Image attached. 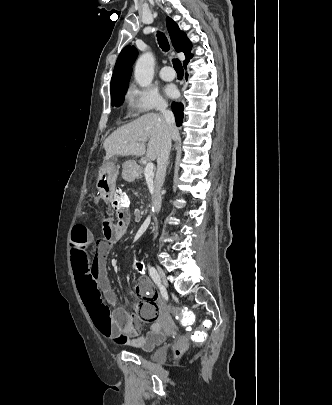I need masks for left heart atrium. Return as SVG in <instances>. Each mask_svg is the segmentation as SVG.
Returning <instances> with one entry per match:
<instances>
[{
	"label": "left heart atrium",
	"mask_w": 332,
	"mask_h": 405,
	"mask_svg": "<svg viewBox=\"0 0 332 405\" xmlns=\"http://www.w3.org/2000/svg\"><path fill=\"white\" fill-rule=\"evenodd\" d=\"M165 93L169 96V97H174L177 94V90L173 85H167L165 87Z\"/></svg>",
	"instance_id": "obj_1"
}]
</instances>
